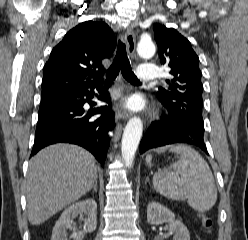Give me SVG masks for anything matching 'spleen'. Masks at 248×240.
Here are the masks:
<instances>
[{
	"mask_svg": "<svg viewBox=\"0 0 248 240\" xmlns=\"http://www.w3.org/2000/svg\"><path fill=\"white\" fill-rule=\"evenodd\" d=\"M170 151L179 154L180 159L171 165L173 171L164 169L154 174L155 190L172 200H187L196 211L210 210L216 203L217 189L207 162L188 145L172 146ZM151 160L152 156L148 155L149 167Z\"/></svg>",
	"mask_w": 248,
	"mask_h": 240,
	"instance_id": "1",
	"label": "spleen"
}]
</instances>
